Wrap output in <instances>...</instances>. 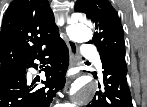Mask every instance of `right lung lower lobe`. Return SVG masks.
Returning a JSON list of instances; mask_svg holds the SVG:
<instances>
[{
	"mask_svg": "<svg viewBox=\"0 0 147 107\" xmlns=\"http://www.w3.org/2000/svg\"><path fill=\"white\" fill-rule=\"evenodd\" d=\"M34 60L42 65L46 80L44 87L26 75L27 68L38 69ZM69 64V53L63 39L58 36L38 50L26 63L0 77V107H49L57 90L65 85L64 74Z\"/></svg>",
	"mask_w": 147,
	"mask_h": 107,
	"instance_id": "1",
	"label": "right lung lower lobe"
}]
</instances>
